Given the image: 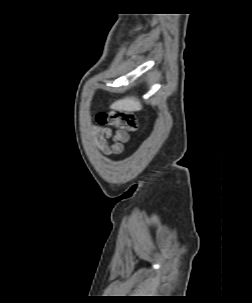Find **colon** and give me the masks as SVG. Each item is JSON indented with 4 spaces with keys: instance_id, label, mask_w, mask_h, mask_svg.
Wrapping results in <instances>:
<instances>
[{
    "instance_id": "5ec220e1",
    "label": "colon",
    "mask_w": 252,
    "mask_h": 303,
    "mask_svg": "<svg viewBox=\"0 0 252 303\" xmlns=\"http://www.w3.org/2000/svg\"><path fill=\"white\" fill-rule=\"evenodd\" d=\"M96 122L99 125L112 126L128 132H135L138 129L135 115L126 110L100 112L96 116Z\"/></svg>"
}]
</instances>
